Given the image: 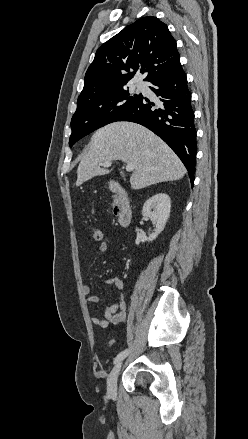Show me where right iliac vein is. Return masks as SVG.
<instances>
[{"instance_id": "1", "label": "right iliac vein", "mask_w": 248, "mask_h": 439, "mask_svg": "<svg viewBox=\"0 0 248 439\" xmlns=\"http://www.w3.org/2000/svg\"><path fill=\"white\" fill-rule=\"evenodd\" d=\"M122 363L123 361L121 360L117 362V364L113 367L108 377L107 389H108V393L112 397H115L117 394V379L122 368Z\"/></svg>"}]
</instances>
